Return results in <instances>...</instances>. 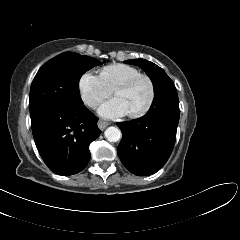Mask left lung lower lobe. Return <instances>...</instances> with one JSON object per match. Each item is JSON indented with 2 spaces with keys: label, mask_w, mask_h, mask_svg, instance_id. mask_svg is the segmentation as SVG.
Wrapping results in <instances>:
<instances>
[{
  "label": "left lung lower lobe",
  "mask_w": 240,
  "mask_h": 240,
  "mask_svg": "<svg viewBox=\"0 0 240 240\" xmlns=\"http://www.w3.org/2000/svg\"><path fill=\"white\" fill-rule=\"evenodd\" d=\"M178 122V107L161 106L139 119L117 123L123 133L117 152L127 170L137 176L156 173L171 155Z\"/></svg>",
  "instance_id": "obj_1"
}]
</instances>
